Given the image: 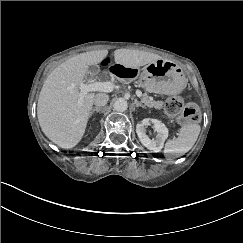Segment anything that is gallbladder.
<instances>
[{
  "label": "gallbladder",
  "mask_w": 243,
  "mask_h": 243,
  "mask_svg": "<svg viewBox=\"0 0 243 243\" xmlns=\"http://www.w3.org/2000/svg\"><path fill=\"white\" fill-rule=\"evenodd\" d=\"M100 71V67L98 65H90L88 67V72L90 73L89 77H92L94 75H97Z\"/></svg>",
  "instance_id": "obj_1"
}]
</instances>
